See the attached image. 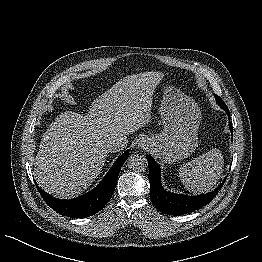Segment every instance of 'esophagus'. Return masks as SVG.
<instances>
[{
    "label": "esophagus",
    "instance_id": "esophagus-1",
    "mask_svg": "<svg viewBox=\"0 0 262 262\" xmlns=\"http://www.w3.org/2000/svg\"><path fill=\"white\" fill-rule=\"evenodd\" d=\"M140 147L144 150H149L150 149V146L148 144L145 143V141H141L139 143Z\"/></svg>",
    "mask_w": 262,
    "mask_h": 262
}]
</instances>
